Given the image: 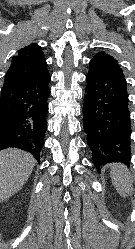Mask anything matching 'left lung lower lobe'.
<instances>
[{
  "label": "left lung lower lobe",
  "instance_id": "0a47b994",
  "mask_svg": "<svg viewBox=\"0 0 135 249\" xmlns=\"http://www.w3.org/2000/svg\"><path fill=\"white\" fill-rule=\"evenodd\" d=\"M86 82L83 127L95 167L99 170L112 162L129 165L131 121L125 77L89 63Z\"/></svg>",
  "mask_w": 135,
  "mask_h": 249
}]
</instances>
